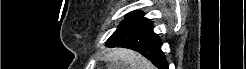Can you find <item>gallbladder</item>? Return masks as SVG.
<instances>
[{"instance_id":"bac80fb5","label":"gallbladder","mask_w":246,"mask_h":69,"mask_svg":"<svg viewBox=\"0 0 246 69\" xmlns=\"http://www.w3.org/2000/svg\"><path fill=\"white\" fill-rule=\"evenodd\" d=\"M107 69H115V66H111V62L107 64Z\"/></svg>"}]
</instances>
